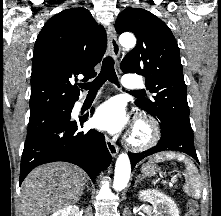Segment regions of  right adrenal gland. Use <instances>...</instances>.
Returning <instances> with one entry per match:
<instances>
[{"mask_svg": "<svg viewBox=\"0 0 221 216\" xmlns=\"http://www.w3.org/2000/svg\"><path fill=\"white\" fill-rule=\"evenodd\" d=\"M85 186L87 187V191H89L90 189H89V186H88V184H85Z\"/></svg>", "mask_w": 221, "mask_h": 216, "instance_id": "right-adrenal-gland-1", "label": "right adrenal gland"}]
</instances>
